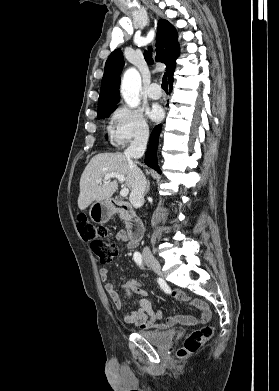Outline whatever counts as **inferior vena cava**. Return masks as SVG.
<instances>
[{"mask_svg":"<svg viewBox=\"0 0 279 391\" xmlns=\"http://www.w3.org/2000/svg\"><path fill=\"white\" fill-rule=\"evenodd\" d=\"M149 138V129H142L131 142L130 146L124 151V156L129 160L130 169L133 175V187L129 200L137 208L144 202V192L146 189V178L137 167L133 159H139L143 156ZM143 254H151L148 247L143 249Z\"/></svg>","mask_w":279,"mask_h":391,"instance_id":"inferior-vena-cava-1","label":"inferior vena cava"}]
</instances>
